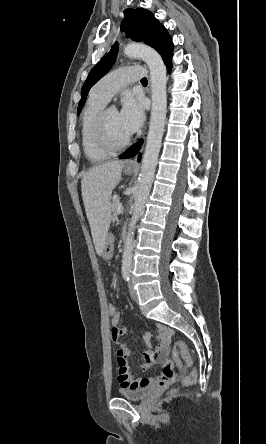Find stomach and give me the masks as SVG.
<instances>
[{
    "instance_id": "obj_1",
    "label": "stomach",
    "mask_w": 266,
    "mask_h": 444,
    "mask_svg": "<svg viewBox=\"0 0 266 444\" xmlns=\"http://www.w3.org/2000/svg\"><path fill=\"white\" fill-rule=\"evenodd\" d=\"M134 172L135 169H129V168L125 169L126 174L130 175L133 174ZM112 251H113V237L111 234H108L104 243L102 256L106 259H110L112 256Z\"/></svg>"
}]
</instances>
